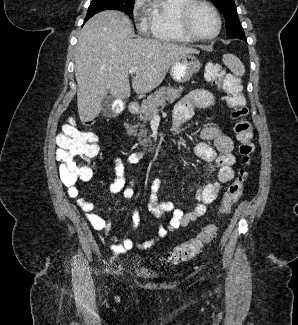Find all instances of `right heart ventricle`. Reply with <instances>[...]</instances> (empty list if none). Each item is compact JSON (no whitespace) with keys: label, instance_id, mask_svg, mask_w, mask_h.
I'll return each instance as SVG.
<instances>
[{"label":"right heart ventricle","instance_id":"right-heart-ventricle-1","mask_svg":"<svg viewBox=\"0 0 298 325\" xmlns=\"http://www.w3.org/2000/svg\"><path fill=\"white\" fill-rule=\"evenodd\" d=\"M187 0H156L148 2L149 23L158 41H179V45L193 43L175 28L177 8Z\"/></svg>","mask_w":298,"mask_h":325}]
</instances>
